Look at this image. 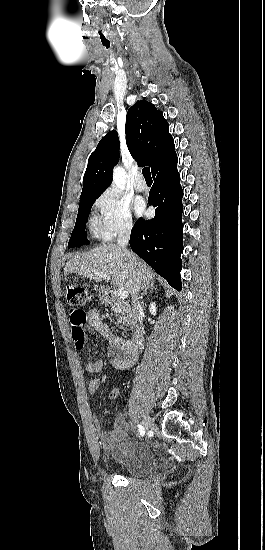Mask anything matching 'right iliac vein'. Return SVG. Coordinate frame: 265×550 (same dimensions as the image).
I'll return each instance as SVG.
<instances>
[{"mask_svg":"<svg viewBox=\"0 0 265 550\" xmlns=\"http://www.w3.org/2000/svg\"><path fill=\"white\" fill-rule=\"evenodd\" d=\"M143 428L144 430H149L151 428V426L153 425V421H152V418L150 416H146L144 419H143Z\"/></svg>","mask_w":265,"mask_h":550,"instance_id":"63e3f726","label":"right iliac vein"}]
</instances>
